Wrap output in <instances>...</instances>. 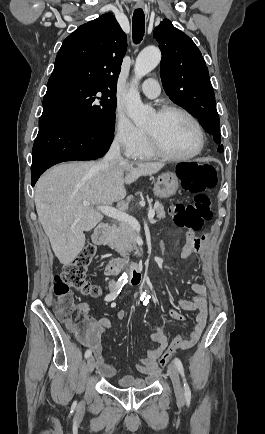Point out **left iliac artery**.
I'll list each match as a JSON object with an SVG mask.
<instances>
[{
    "mask_svg": "<svg viewBox=\"0 0 265 434\" xmlns=\"http://www.w3.org/2000/svg\"><path fill=\"white\" fill-rule=\"evenodd\" d=\"M174 363H175V366L177 367L178 371L180 372V374H181V376L183 378L185 398H186L187 401H190V399H191V391H190L189 385H188V383L186 381V378H185L183 364H182L181 360L179 358H177V357H175Z\"/></svg>",
    "mask_w": 265,
    "mask_h": 434,
    "instance_id": "left-iliac-artery-1",
    "label": "left iliac artery"
}]
</instances>
